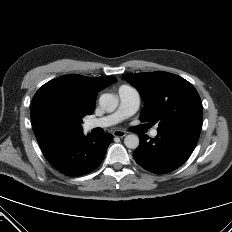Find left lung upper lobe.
Listing matches in <instances>:
<instances>
[{"label":"left lung upper lobe","mask_w":232,"mask_h":232,"mask_svg":"<svg viewBox=\"0 0 232 232\" xmlns=\"http://www.w3.org/2000/svg\"><path fill=\"white\" fill-rule=\"evenodd\" d=\"M123 78L140 92L145 106L140 120L156 123L158 129L176 126L201 128V99L194 86L167 72L124 74Z\"/></svg>","instance_id":"5c2ea615"}]
</instances>
